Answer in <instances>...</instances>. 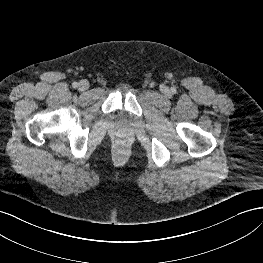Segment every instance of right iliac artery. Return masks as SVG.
Masks as SVG:
<instances>
[{
    "label": "right iliac artery",
    "mask_w": 263,
    "mask_h": 263,
    "mask_svg": "<svg viewBox=\"0 0 263 263\" xmlns=\"http://www.w3.org/2000/svg\"><path fill=\"white\" fill-rule=\"evenodd\" d=\"M72 86H73L74 88H77V87H78V83H77V82H73Z\"/></svg>",
    "instance_id": "right-iliac-artery-1"
}]
</instances>
